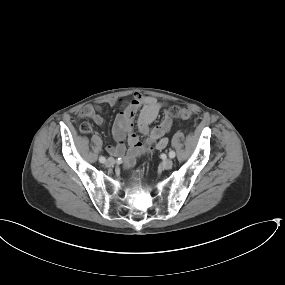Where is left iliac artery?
I'll return each instance as SVG.
<instances>
[{"label":"left iliac artery","mask_w":285,"mask_h":285,"mask_svg":"<svg viewBox=\"0 0 285 285\" xmlns=\"http://www.w3.org/2000/svg\"><path fill=\"white\" fill-rule=\"evenodd\" d=\"M169 157L174 158L175 157V152L173 150L169 151Z\"/></svg>","instance_id":"obj_1"}]
</instances>
